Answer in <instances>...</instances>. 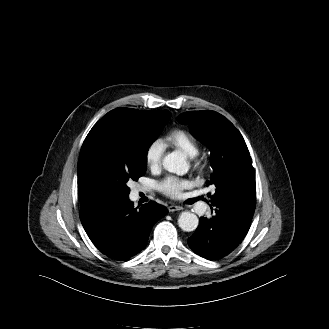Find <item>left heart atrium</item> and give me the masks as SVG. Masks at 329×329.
Here are the masks:
<instances>
[{
	"instance_id": "obj_1",
	"label": "left heart atrium",
	"mask_w": 329,
	"mask_h": 329,
	"mask_svg": "<svg viewBox=\"0 0 329 329\" xmlns=\"http://www.w3.org/2000/svg\"><path fill=\"white\" fill-rule=\"evenodd\" d=\"M191 183L186 179L168 176L159 183V189L171 198L182 196L183 190L189 188Z\"/></svg>"
}]
</instances>
